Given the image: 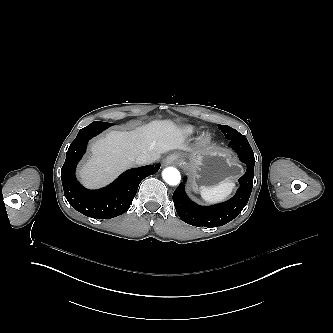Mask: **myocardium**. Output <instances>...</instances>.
<instances>
[{"mask_svg": "<svg viewBox=\"0 0 333 333\" xmlns=\"http://www.w3.org/2000/svg\"><path fill=\"white\" fill-rule=\"evenodd\" d=\"M210 141V136L209 135H206V137H205V143L206 142H209Z\"/></svg>", "mask_w": 333, "mask_h": 333, "instance_id": "f54148a6", "label": "myocardium"}]
</instances>
